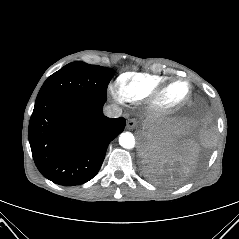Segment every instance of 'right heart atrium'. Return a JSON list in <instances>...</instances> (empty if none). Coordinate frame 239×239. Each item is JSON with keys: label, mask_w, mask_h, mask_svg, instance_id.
<instances>
[{"label": "right heart atrium", "mask_w": 239, "mask_h": 239, "mask_svg": "<svg viewBox=\"0 0 239 239\" xmlns=\"http://www.w3.org/2000/svg\"><path fill=\"white\" fill-rule=\"evenodd\" d=\"M112 94L117 100H122V95L120 94L119 90L117 89H112Z\"/></svg>", "instance_id": "1"}]
</instances>
